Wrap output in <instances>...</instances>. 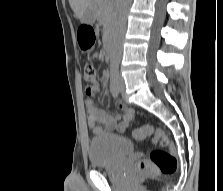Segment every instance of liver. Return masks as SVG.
I'll use <instances>...</instances> for the list:
<instances>
[{"label": "liver", "mask_w": 223, "mask_h": 191, "mask_svg": "<svg viewBox=\"0 0 223 191\" xmlns=\"http://www.w3.org/2000/svg\"><path fill=\"white\" fill-rule=\"evenodd\" d=\"M91 0H69V4L77 18H81L82 14L89 8Z\"/></svg>", "instance_id": "1"}]
</instances>
